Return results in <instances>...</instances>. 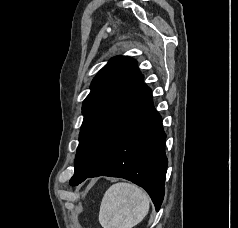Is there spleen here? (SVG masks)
<instances>
[{
  "label": "spleen",
  "instance_id": "spleen-1",
  "mask_svg": "<svg viewBox=\"0 0 238 228\" xmlns=\"http://www.w3.org/2000/svg\"><path fill=\"white\" fill-rule=\"evenodd\" d=\"M149 208L145 191L131 183H116L103 196L99 222L103 228H132L144 219Z\"/></svg>",
  "mask_w": 238,
  "mask_h": 228
}]
</instances>
